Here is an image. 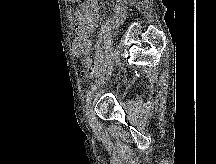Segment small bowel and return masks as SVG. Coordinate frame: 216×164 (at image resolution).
<instances>
[{
  "instance_id": "c3829d8e",
  "label": "small bowel",
  "mask_w": 216,
  "mask_h": 164,
  "mask_svg": "<svg viewBox=\"0 0 216 164\" xmlns=\"http://www.w3.org/2000/svg\"><path fill=\"white\" fill-rule=\"evenodd\" d=\"M125 14V0H116L114 6V21L119 23ZM99 20V6L97 0H87L76 12V37L73 50L76 56L83 58L85 66H92V43L89 39Z\"/></svg>"
}]
</instances>
